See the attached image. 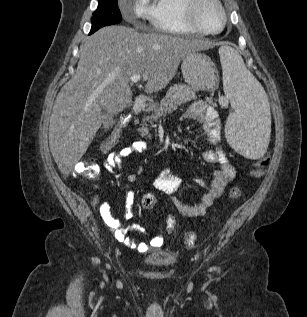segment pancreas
I'll use <instances>...</instances> for the list:
<instances>
[{
  "mask_svg": "<svg viewBox=\"0 0 307 317\" xmlns=\"http://www.w3.org/2000/svg\"><path fill=\"white\" fill-rule=\"evenodd\" d=\"M192 99H196L195 89H192L186 84H175L171 86L166 93L165 99L161 100V102L153 108L151 115L143 119L142 128L139 129L140 135L142 137L148 136V138L151 139L149 128L145 121L153 123L159 117L172 113L178 106Z\"/></svg>",
  "mask_w": 307,
  "mask_h": 317,
  "instance_id": "1",
  "label": "pancreas"
}]
</instances>
